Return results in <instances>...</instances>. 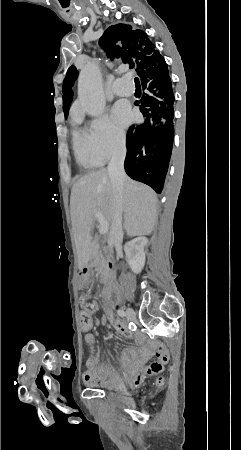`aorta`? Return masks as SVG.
<instances>
[{
	"mask_svg": "<svg viewBox=\"0 0 241 450\" xmlns=\"http://www.w3.org/2000/svg\"><path fill=\"white\" fill-rule=\"evenodd\" d=\"M78 97L88 115L98 117L102 114L105 107L102 77L94 63L88 62L79 74Z\"/></svg>",
	"mask_w": 241,
	"mask_h": 450,
	"instance_id": "obj_1",
	"label": "aorta"
}]
</instances>
